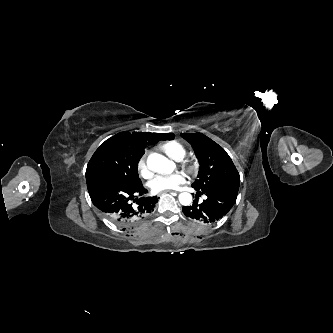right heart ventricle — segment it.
I'll return each instance as SVG.
<instances>
[{
  "instance_id": "obj_1",
  "label": "right heart ventricle",
  "mask_w": 333,
  "mask_h": 333,
  "mask_svg": "<svg viewBox=\"0 0 333 333\" xmlns=\"http://www.w3.org/2000/svg\"><path fill=\"white\" fill-rule=\"evenodd\" d=\"M160 148L170 158L179 161L186 155L185 147L177 141H168L163 143Z\"/></svg>"
}]
</instances>
